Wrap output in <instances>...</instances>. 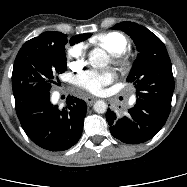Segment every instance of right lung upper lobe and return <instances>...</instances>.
I'll return each mask as SVG.
<instances>
[{"label": "right lung upper lobe", "instance_id": "cb5924a9", "mask_svg": "<svg viewBox=\"0 0 187 187\" xmlns=\"http://www.w3.org/2000/svg\"><path fill=\"white\" fill-rule=\"evenodd\" d=\"M90 35L91 34H81V35L73 36L70 39H68L67 35H64L60 32L48 31V32H43L38 37L33 38L31 40L50 42V43H61L64 40H66V41L78 43L82 40L87 39Z\"/></svg>", "mask_w": 187, "mask_h": 187}]
</instances>
